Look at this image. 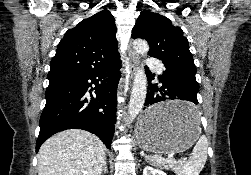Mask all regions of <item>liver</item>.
Here are the masks:
<instances>
[{
    "mask_svg": "<svg viewBox=\"0 0 251 175\" xmlns=\"http://www.w3.org/2000/svg\"><path fill=\"white\" fill-rule=\"evenodd\" d=\"M104 143L83 129H66L42 143L38 175H100L105 163Z\"/></svg>",
    "mask_w": 251,
    "mask_h": 175,
    "instance_id": "liver-1",
    "label": "liver"
}]
</instances>
